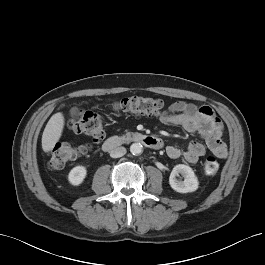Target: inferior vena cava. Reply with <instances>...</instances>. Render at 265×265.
<instances>
[{"mask_svg": "<svg viewBox=\"0 0 265 265\" xmlns=\"http://www.w3.org/2000/svg\"><path fill=\"white\" fill-rule=\"evenodd\" d=\"M126 154V148L125 147H116L110 152V156L112 158H119Z\"/></svg>", "mask_w": 265, "mask_h": 265, "instance_id": "602c4592", "label": "inferior vena cava"}]
</instances>
